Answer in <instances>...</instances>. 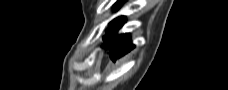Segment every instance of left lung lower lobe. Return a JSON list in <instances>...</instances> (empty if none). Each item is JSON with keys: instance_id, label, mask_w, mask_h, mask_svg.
<instances>
[{"instance_id": "obj_1", "label": "left lung lower lobe", "mask_w": 228, "mask_h": 90, "mask_svg": "<svg viewBox=\"0 0 228 90\" xmlns=\"http://www.w3.org/2000/svg\"><path fill=\"white\" fill-rule=\"evenodd\" d=\"M125 23V17L121 16L117 18L115 25L106 30V35L103 37L104 47L109 48L111 53V60L116 62L122 58L125 54L131 51L135 46L131 43L129 34L116 35L117 31Z\"/></svg>"}]
</instances>
